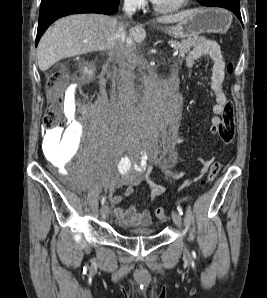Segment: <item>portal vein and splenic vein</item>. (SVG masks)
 I'll list each match as a JSON object with an SVG mask.
<instances>
[{
	"mask_svg": "<svg viewBox=\"0 0 267 298\" xmlns=\"http://www.w3.org/2000/svg\"><path fill=\"white\" fill-rule=\"evenodd\" d=\"M178 53H179V51H178V50L174 51V52H173V56H177V55H178Z\"/></svg>",
	"mask_w": 267,
	"mask_h": 298,
	"instance_id": "1",
	"label": "portal vein and splenic vein"
}]
</instances>
